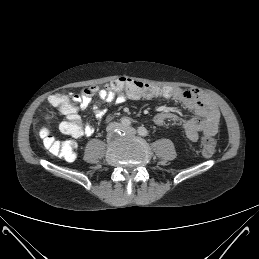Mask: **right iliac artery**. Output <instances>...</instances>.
Returning <instances> with one entry per match:
<instances>
[{
	"label": "right iliac artery",
	"instance_id": "82829eb1",
	"mask_svg": "<svg viewBox=\"0 0 259 259\" xmlns=\"http://www.w3.org/2000/svg\"><path fill=\"white\" fill-rule=\"evenodd\" d=\"M121 123H122V125L125 126V127H128V126H130V124H131V122H130V120H129L128 118H123V119L121 120Z\"/></svg>",
	"mask_w": 259,
	"mask_h": 259
}]
</instances>
